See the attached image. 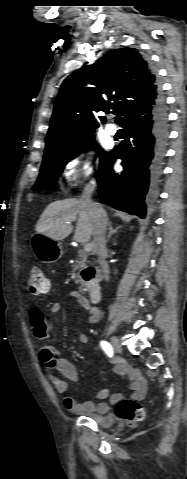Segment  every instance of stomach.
<instances>
[{"label":"stomach","instance_id":"1","mask_svg":"<svg viewBox=\"0 0 187 479\" xmlns=\"http://www.w3.org/2000/svg\"><path fill=\"white\" fill-rule=\"evenodd\" d=\"M34 254L42 263H53L63 255L62 244L41 233H35L31 238Z\"/></svg>","mask_w":187,"mask_h":479}]
</instances>
